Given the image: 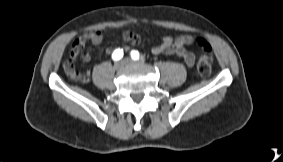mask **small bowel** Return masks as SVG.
<instances>
[{
	"label": "small bowel",
	"instance_id": "obj_1",
	"mask_svg": "<svg viewBox=\"0 0 283 162\" xmlns=\"http://www.w3.org/2000/svg\"><path fill=\"white\" fill-rule=\"evenodd\" d=\"M103 40L101 31H87L82 36L77 38L72 45L70 57L64 63V70L68 76L76 72L75 61L80 58L83 62L91 60V54L88 51H83L86 42H91L93 45H99ZM122 40L132 45L140 43V36L133 31H125L122 35ZM194 42L191 35H181L178 37L164 36L162 41L152 48L154 55L169 54L181 57L188 67L195 64V55L188 50V46ZM89 74V72H86ZM74 79V78H73Z\"/></svg>",
	"mask_w": 283,
	"mask_h": 162
}]
</instances>
